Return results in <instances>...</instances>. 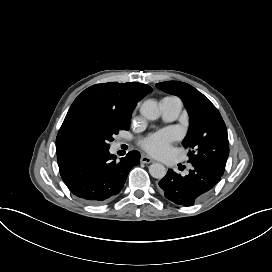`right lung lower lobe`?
I'll return each mask as SVG.
<instances>
[{
	"mask_svg": "<svg viewBox=\"0 0 272 272\" xmlns=\"http://www.w3.org/2000/svg\"><path fill=\"white\" fill-rule=\"evenodd\" d=\"M140 154L131 151L116 161L108 149L69 150L57 154L63 181L74 196L98 205L115 197L123 188L130 169L139 164Z\"/></svg>",
	"mask_w": 272,
	"mask_h": 272,
	"instance_id": "1",
	"label": "right lung lower lobe"
}]
</instances>
